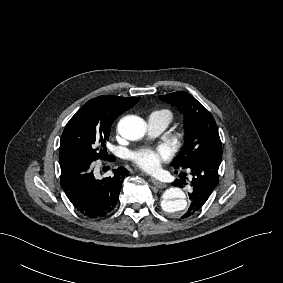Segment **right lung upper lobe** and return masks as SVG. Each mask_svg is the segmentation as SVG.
<instances>
[{
  "label": "right lung upper lobe",
  "mask_w": 283,
  "mask_h": 283,
  "mask_svg": "<svg viewBox=\"0 0 283 283\" xmlns=\"http://www.w3.org/2000/svg\"><path fill=\"white\" fill-rule=\"evenodd\" d=\"M121 99H135V98H125V97H117V96H99L92 100L105 103L110 106H116V103Z\"/></svg>",
  "instance_id": "1"
}]
</instances>
